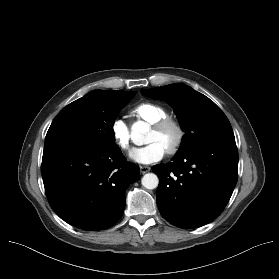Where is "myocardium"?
Here are the masks:
<instances>
[{
    "label": "myocardium",
    "mask_w": 279,
    "mask_h": 279,
    "mask_svg": "<svg viewBox=\"0 0 279 279\" xmlns=\"http://www.w3.org/2000/svg\"><path fill=\"white\" fill-rule=\"evenodd\" d=\"M151 128L157 132L172 128L175 131V139L166 149V152L169 155H173L179 151L184 142L185 130L178 120L167 116L152 123Z\"/></svg>",
    "instance_id": "1"
}]
</instances>
